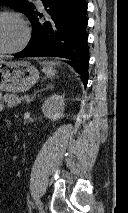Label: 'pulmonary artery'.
<instances>
[{
    "mask_svg": "<svg viewBox=\"0 0 128 213\" xmlns=\"http://www.w3.org/2000/svg\"><path fill=\"white\" fill-rule=\"evenodd\" d=\"M36 3H37V5L40 7V8H42V2H41V0H36Z\"/></svg>",
    "mask_w": 128,
    "mask_h": 213,
    "instance_id": "obj_1",
    "label": "pulmonary artery"
}]
</instances>
